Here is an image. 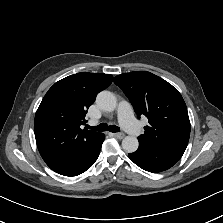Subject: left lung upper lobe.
<instances>
[{
  "mask_svg": "<svg viewBox=\"0 0 223 223\" xmlns=\"http://www.w3.org/2000/svg\"><path fill=\"white\" fill-rule=\"evenodd\" d=\"M138 116L150 126L138 137L139 146L181 158L189 141L190 121L181 94L167 81L147 72L124 73L114 78Z\"/></svg>",
  "mask_w": 223,
  "mask_h": 223,
  "instance_id": "5c2ea615",
  "label": "left lung upper lobe"
}]
</instances>
